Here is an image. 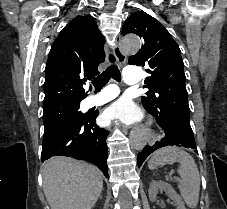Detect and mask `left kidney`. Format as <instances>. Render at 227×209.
I'll use <instances>...</instances> for the list:
<instances>
[{"instance_id": "left-kidney-1", "label": "left kidney", "mask_w": 227, "mask_h": 209, "mask_svg": "<svg viewBox=\"0 0 227 209\" xmlns=\"http://www.w3.org/2000/svg\"><path fill=\"white\" fill-rule=\"evenodd\" d=\"M159 191H165L167 197H169V199L174 201L175 205H177V209H185V203L182 197L177 195L173 187H171L169 183H165V181H152V183H150L148 191L150 201H156Z\"/></svg>"}]
</instances>
